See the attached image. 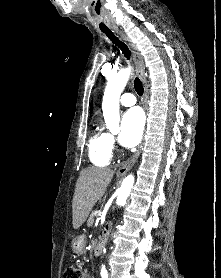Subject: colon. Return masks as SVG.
Instances as JSON below:
<instances>
[{
  "instance_id": "colon-1",
  "label": "colon",
  "mask_w": 221,
  "mask_h": 278,
  "mask_svg": "<svg viewBox=\"0 0 221 278\" xmlns=\"http://www.w3.org/2000/svg\"><path fill=\"white\" fill-rule=\"evenodd\" d=\"M64 278H84V273L77 266H69L65 271Z\"/></svg>"
}]
</instances>
